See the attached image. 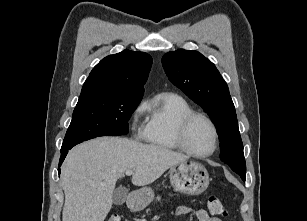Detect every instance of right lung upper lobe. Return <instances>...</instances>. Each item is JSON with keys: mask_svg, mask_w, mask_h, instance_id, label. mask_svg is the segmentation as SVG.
<instances>
[{"mask_svg": "<svg viewBox=\"0 0 307 221\" xmlns=\"http://www.w3.org/2000/svg\"><path fill=\"white\" fill-rule=\"evenodd\" d=\"M152 57L124 50L102 59L85 81L78 102L107 95L143 96Z\"/></svg>", "mask_w": 307, "mask_h": 221, "instance_id": "1", "label": "right lung upper lobe"}]
</instances>
